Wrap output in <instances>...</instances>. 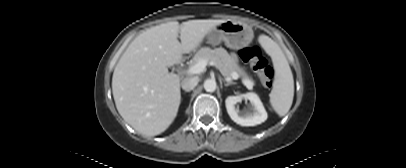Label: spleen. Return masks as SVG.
<instances>
[{"label": "spleen", "instance_id": "obj_1", "mask_svg": "<svg viewBox=\"0 0 406 168\" xmlns=\"http://www.w3.org/2000/svg\"><path fill=\"white\" fill-rule=\"evenodd\" d=\"M263 48L272 58L275 68L273 88L270 97V104L274 111L280 116H285L290 110L294 97V79L289 63L280 48L272 39L265 37Z\"/></svg>", "mask_w": 406, "mask_h": 168}]
</instances>
